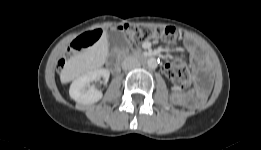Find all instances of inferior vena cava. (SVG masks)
Instances as JSON below:
<instances>
[{
    "label": "inferior vena cava",
    "instance_id": "obj_1",
    "mask_svg": "<svg viewBox=\"0 0 261 150\" xmlns=\"http://www.w3.org/2000/svg\"><path fill=\"white\" fill-rule=\"evenodd\" d=\"M139 65H140V63L137 60V58L132 55L126 57L122 62V68H123V70H126V71L137 68V67H139Z\"/></svg>",
    "mask_w": 261,
    "mask_h": 150
}]
</instances>
